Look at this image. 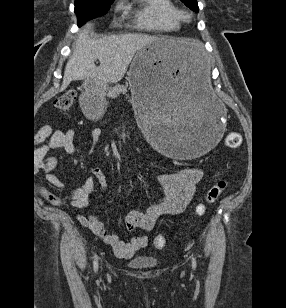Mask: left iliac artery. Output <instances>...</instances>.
<instances>
[{"instance_id": "1", "label": "left iliac artery", "mask_w": 286, "mask_h": 308, "mask_svg": "<svg viewBox=\"0 0 286 308\" xmlns=\"http://www.w3.org/2000/svg\"><path fill=\"white\" fill-rule=\"evenodd\" d=\"M192 267L196 268V259L194 257H192Z\"/></svg>"}]
</instances>
